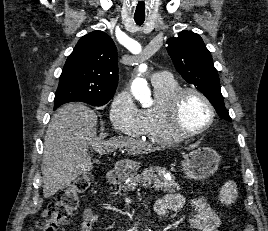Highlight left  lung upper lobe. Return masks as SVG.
<instances>
[{
    "instance_id": "5c2ea615",
    "label": "left lung upper lobe",
    "mask_w": 268,
    "mask_h": 231,
    "mask_svg": "<svg viewBox=\"0 0 268 231\" xmlns=\"http://www.w3.org/2000/svg\"><path fill=\"white\" fill-rule=\"evenodd\" d=\"M167 44V51L181 76L207 97L219 116L231 122L220 91L218 72L202 38L184 30L177 38L168 39Z\"/></svg>"
}]
</instances>
